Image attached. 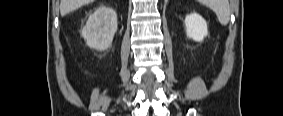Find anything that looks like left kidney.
<instances>
[{"label":"left kidney","instance_id":"5707ae66","mask_svg":"<svg viewBox=\"0 0 283 116\" xmlns=\"http://www.w3.org/2000/svg\"><path fill=\"white\" fill-rule=\"evenodd\" d=\"M187 37L202 42L208 35L207 23L198 13H191L185 17Z\"/></svg>","mask_w":283,"mask_h":116}]
</instances>
